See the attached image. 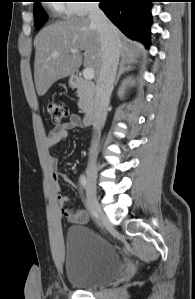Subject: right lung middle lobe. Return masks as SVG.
Returning <instances> with one entry per match:
<instances>
[{"label":"right lung middle lobe","instance_id":"1","mask_svg":"<svg viewBox=\"0 0 195 299\" xmlns=\"http://www.w3.org/2000/svg\"><path fill=\"white\" fill-rule=\"evenodd\" d=\"M40 1L34 0V21L37 30L47 21V16L41 7Z\"/></svg>","mask_w":195,"mask_h":299}]
</instances>
